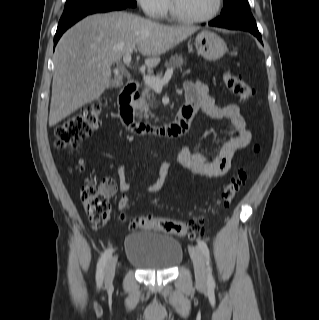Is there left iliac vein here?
<instances>
[{"label": "left iliac vein", "instance_id": "4c4485c4", "mask_svg": "<svg viewBox=\"0 0 319 320\" xmlns=\"http://www.w3.org/2000/svg\"><path fill=\"white\" fill-rule=\"evenodd\" d=\"M189 253L194 265L196 282L198 285L204 286L207 283V274L202 253L200 249L194 245L189 246Z\"/></svg>", "mask_w": 319, "mask_h": 320}]
</instances>
